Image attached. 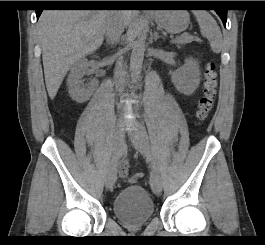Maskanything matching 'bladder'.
Segmentation results:
<instances>
[{
	"label": "bladder",
	"mask_w": 265,
	"mask_h": 245,
	"mask_svg": "<svg viewBox=\"0 0 265 245\" xmlns=\"http://www.w3.org/2000/svg\"><path fill=\"white\" fill-rule=\"evenodd\" d=\"M114 216L126 226L140 225L150 220L155 213V204L141 186L122 190L112 205Z\"/></svg>",
	"instance_id": "bladder-1"
}]
</instances>
